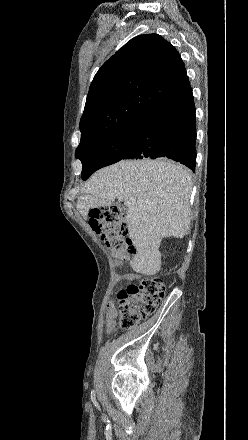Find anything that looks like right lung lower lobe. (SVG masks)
Instances as JSON below:
<instances>
[{
    "label": "right lung lower lobe",
    "instance_id": "98d812e1",
    "mask_svg": "<svg viewBox=\"0 0 248 440\" xmlns=\"http://www.w3.org/2000/svg\"><path fill=\"white\" fill-rule=\"evenodd\" d=\"M127 129L130 144L122 159L167 157L195 170L196 124L192 90L153 107Z\"/></svg>",
    "mask_w": 248,
    "mask_h": 440
}]
</instances>
